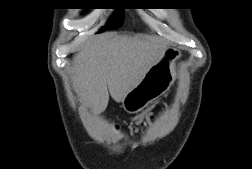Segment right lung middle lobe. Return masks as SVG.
Wrapping results in <instances>:
<instances>
[{
  "label": "right lung middle lobe",
  "mask_w": 252,
  "mask_h": 169,
  "mask_svg": "<svg viewBox=\"0 0 252 169\" xmlns=\"http://www.w3.org/2000/svg\"><path fill=\"white\" fill-rule=\"evenodd\" d=\"M97 1H107V0H81V4L85 6H91V5L99 4V2ZM123 18H124L123 9L122 8L116 9L115 14L110 18L106 26L103 27L100 30V32H103L104 30L116 29L120 27L122 25Z\"/></svg>",
  "instance_id": "obj_1"
}]
</instances>
